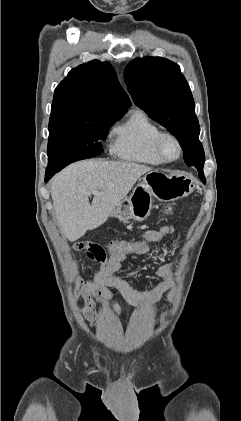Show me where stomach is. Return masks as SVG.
Segmentation results:
<instances>
[{"label":"stomach","instance_id":"stomach-1","mask_svg":"<svg viewBox=\"0 0 241 421\" xmlns=\"http://www.w3.org/2000/svg\"><path fill=\"white\" fill-rule=\"evenodd\" d=\"M195 180L183 173H166L161 170L148 172L110 216L122 222L143 221L152 210V197L159 201L171 202L187 197L194 191Z\"/></svg>","mask_w":241,"mask_h":421}]
</instances>
